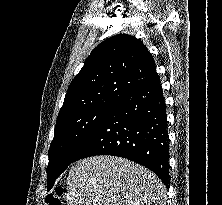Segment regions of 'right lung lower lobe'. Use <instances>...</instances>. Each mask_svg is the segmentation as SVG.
Wrapping results in <instances>:
<instances>
[{
  "mask_svg": "<svg viewBox=\"0 0 222 205\" xmlns=\"http://www.w3.org/2000/svg\"><path fill=\"white\" fill-rule=\"evenodd\" d=\"M165 106L159 77L134 89L110 110L73 162L96 155L120 156L147 167L168 187Z\"/></svg>",
  "mask_w": 222,
  "mask_h": 205,
  "instance_id": "98d812e1",
  "label": "right lung lower lobe"
}]
</instances>
